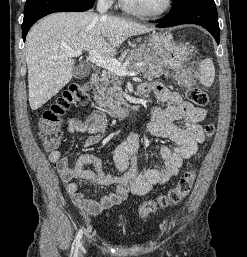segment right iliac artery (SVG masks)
Masks as SVG:
<instances>
[{"mask_svg":"<svg viewBox=\"0 0 247 257\" xmlns=\"http://www.w3.org/2000/svg\"><path fill=\"white\" fill-rule=\"evenodd\" d=\"M82 235H83V228L81 230H79L76 238H75V253H74V257H77L78 255V250H79V247H80V241H81V238H82Z\"/></svg>","mask_w":247,"mask_h":257,"instance_id":"82829eb1","label":"right iliac artery"}]
</instances>
